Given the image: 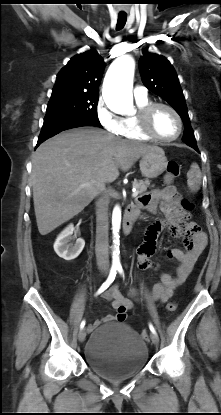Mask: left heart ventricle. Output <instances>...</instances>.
Listing matches in <instances>:
<instances>
[{"instance_id": "left-heart-ventricle-1", "label": "left heart ventricle", "mask_w": 221, "mask_h": 415, "mask_svg": "<svg viewBox=\"0 0 221 415\" xmlns=\"http://www.w3.org/2000/svg\"><path fill=\"white\" fill-rule=\"evenodd\" d=\"M152 126L154 131L165 138L176 135L178 131V122L175 116L165 108H157L153 114Z\"/></svg>"}]
</instances>
